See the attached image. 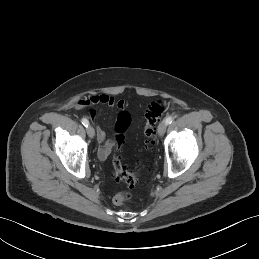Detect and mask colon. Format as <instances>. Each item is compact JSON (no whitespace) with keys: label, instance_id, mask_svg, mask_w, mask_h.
I'll list each match as a JSON object with an SVG mask.
<instances>
[{"label":"colon","instance_id":"colon-1","mask_svg":"<svg viewBox=\"0 0 259 259\" xmlns=\"http://www.w3.org/2000/svg\"><path fill=\"white\" fill-rule=\"evenodd\" d=\"M165 111V104L160 101H154L150 103L145 113L144 122V137L147 145L153 144L156 136V126L163 116ZM131 115L127 111H121L114 124V137H115V149L119 151L123 141L124 135L130 126ZM114 169V176L117 181L127 184L130 188H133L139 177L136 173L128 171L120 158L115 155L112 160ZM130 199V193L121 187H118L113 194V202L115 204H123Z\"/></svg>","mask_w":259,"mask_h":259}]
</instances>
